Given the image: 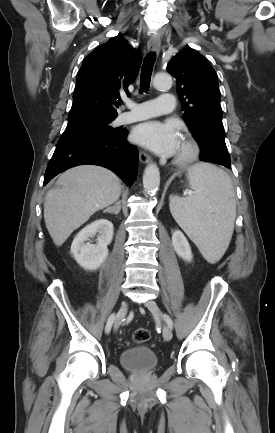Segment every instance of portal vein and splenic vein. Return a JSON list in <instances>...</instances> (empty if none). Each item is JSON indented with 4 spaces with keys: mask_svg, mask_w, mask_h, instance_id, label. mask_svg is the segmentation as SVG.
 <instances>
[{
    "mask_svg": "<svg viewBox=\"0 0 275 433\" xmlns=\"http://www.w3.org/2000/svg\"><path fill=\"white\" fill-rule=\"evenodd\" d=\"M185 194L190 195V194H192V192L191 191H187Z\"/></svg>",
    "mask_w": 275,
    "mask_h": 433,
    "instance_id": "obj_1",
    "label": "portal vein and splenic vein"
}]
</instances>
